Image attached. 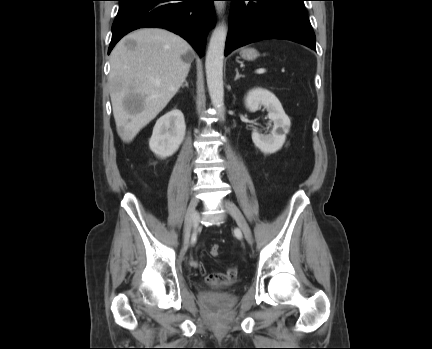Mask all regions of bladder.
Returning <instances> with one entry per match:
<instances>
[{"label":"bladder","instance_id":"bladder-1","mask_svg":"<svg viewBox=\"0 0 432 349\" xmlns=\"http://www.w3.org/2000/svg\"><path fill=\"white\" fill-rule=\"evenodd\" d=\"M222 294L219 293H207L204 295L205 298H209V299H218L221 297Z\"/></svg>","mask_w":432,"mask_h":349}]
</instances>
